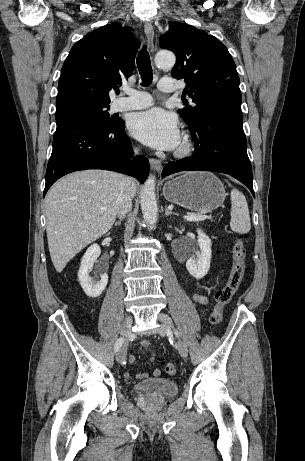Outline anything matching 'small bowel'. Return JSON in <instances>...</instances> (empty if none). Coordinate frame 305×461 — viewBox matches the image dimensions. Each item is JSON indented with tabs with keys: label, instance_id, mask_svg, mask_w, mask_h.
<instances>
[{
	"label": "small bowel",
	"instance_id": "c3829d8e",
	"mask_svg": "<svg viewBox=\"0 0 305 461\" xmlns=\"http://www.w3.org/2000/svg\"><path fill=\"white\" fill-rule=\"evenodd\" d=\"M192 297H193V299H194L196 302H198V303H200V304H207V303H208V298H207L205 295H202V294H199V293H193ZM142 347H143L147 352L150 353V355H151V360H153L154 357H155V352H154V350L152 349L150 342H149L148 340H143V341H142ZM135 360H136V358H135L134 355H130V356H129V362H130V363L135 362ZM159 375H160V370H159V369H155V370L153 371V376L158 377ZM145 376H146V374L140 373V374H137V375H136V378L142 379V378H144ZM125 377H126L127 379H132V378H133V376H132L130 373H126V374H125Z\"/></svg>",
	"mask_w": 305,
	"mask_h": 461
}]
</instances>
